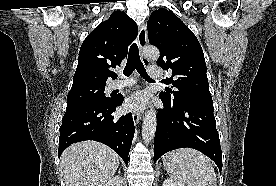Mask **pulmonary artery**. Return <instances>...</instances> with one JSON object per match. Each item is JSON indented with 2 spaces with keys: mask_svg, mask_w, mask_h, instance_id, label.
Masks as SVG:
<instances>
[{
  "mask_svg": "<svg viewBox=\"0 0 276 186\" xmlns=\"http://www.w3.org/2000/svg\"><path fill=\"white\" fill-rule=\"evenodd\" d=\"M148 73H149L150 77H152V78H160L163 75L162 68L159 66H155V65H150L148 67ZM135 83H136V79H134L132 77H129V78L122 77L120 79L113 81L110 85V88L115 90V89L131 86Z\"/></svg>",
  "mask_w": 276,
  "mask_h": 186,
  "instance_id": "e3ab8cb5",
  "label": "pulmonary artery"
}]
</instances>
